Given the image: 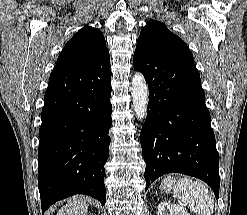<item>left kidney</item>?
<instances>
[{
    "instance_id": "obj_1",
    "label": "left kidney",
    "mask_w": 247,
    "mask_h": 215,
    "mask_svg": "<svg viewBox=\"0 0 247 215\" xmlns=\"http://www.w3.org/2000/svg\"><path fill=\"white\" fill-rule=\"evenodd\" d=\"M158 215H190L185 209L171 204L170 202H161L158 205Z\"/></svg>"
}]
</instances>
